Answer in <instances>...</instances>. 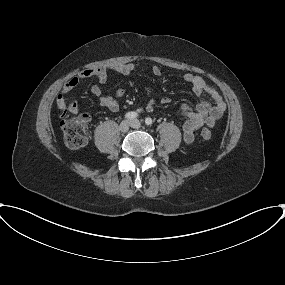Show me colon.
<instances>
[{
  "label": "colon",
  "instance_id": "colon-1",
  "mask_svg": "<svg viewBox=\"0 0 285 285\" xmlns=\"http://www.w3.org/2000/svg\"><path fill=\"white\" fill-rule=\"evenodd\" d=\"M88 121L89 119L85 115L62 119L61 129L66 147L77 150L87 145L89 140ZM200 137L208 141L211 139L212 133L209 129L203 128L200 132Z\"/></svg>",
  "mask_w": 285,
  "mask_h": 285
}]
</instances>
